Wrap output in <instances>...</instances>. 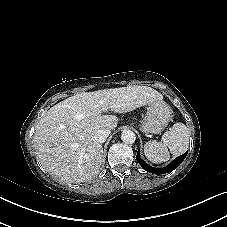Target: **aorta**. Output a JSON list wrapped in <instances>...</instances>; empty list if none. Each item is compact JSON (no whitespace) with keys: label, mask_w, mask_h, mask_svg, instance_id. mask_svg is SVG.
Masks as SVG:
<instances>
[{"label":"aorta","mask_w":227,"mask_h":227,"mask_svg":"<svg viewBox=\"0 0 227 227\" xmlns=\"http://www.w3.org/2000/svg\"><path fill=\"white\" fill-rule=\"evenodd\" d=\"M121 140L126 144H132L136 140V135L131 130H124L121 134Z\"/></svg>","instance_id":"aorta-1"}]
</instances>
